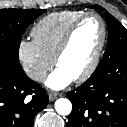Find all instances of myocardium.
<instances>
[{
	"label": "myocardium",
	"instance_id": "obj_1",
	"mask_svg": "<svg viewBox=\"0 0 127 127\" xmlns=\"http://www.w3.org/2000/svg\"><path fill=\"white\" fill-rule=\"evenodd\" d=\"M87 18H96L99 20V22L101 24V28H102V36H101V41H100L99 47H98L96 53L94 54L90 64L80 75H78L77 77L74 78V80L77 82H82V81H85L86 79H88L94 73V71L96 70V68L100 62L101 56L103 54V51H104V48L106 45V39H107V25H106L105 20L99 14L94 13V12H86V13L82 14L67 29V31L65 32V34H64L56 52H55V55L53 57L54 64L56 66H58L60 59L66 53V51L71 43V40L74 36L75 31L77 30L79 25Z\"/></svg>",
	"mask_w": 127,
	"mask_h": 127
}]
</instances>
